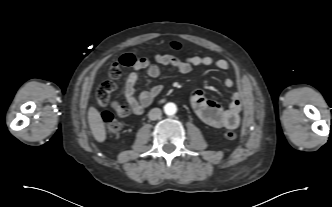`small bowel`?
Returning a JSON list of instances; mask_svg holds the SVG:
<instances>
[{"instance_id":"small-bowel-1","label":"small bowel","mask_w":332,"mask_h":207,"mask_svg":"<svg viewBox=\"0 0 332 207\" xmlns=\"http://www.w3.org/2000/svg\"><path fill=\"white\" fill-rule=\"evenodd\" d=\"M156 63H152L145 58L137 59L133 66L134 70L129 73L125 83V98L128 106H125L126 112L118 114L119 116H127L128 114L140 115L144 108L151 104L156 96L162 91L159 84L153 85L147 90L136 95L135 85L138 81V71L145 70L150 78H158L160 69L157 64L171 66L176 68L181 74H188L194 66H213L219 70H229L230 64L224 59H215L211 56H191L180 59L170 54H157L154 57ZM225 85L231 87L234 85L232 78L225 79ZM243 96L240 92H234L231 95V102L228 108L224 109L214 101L205 98L200 90L192 93V105L201 118V120L215 128L236 129L240 125V113L242 111Z\"/></svg>"}]
</instances>
